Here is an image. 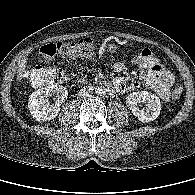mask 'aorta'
<instances>
[{
    "instance_id": "obj_1",
    "label": "aorta",
    "mask_w": 195,
    "mask_h": 195,
    "mask_svg": "<svg viewBox=\"0 0 195 195\" xmlns=\"http://www.w3.org/2000/svg\"><path fill=\"white\" fill-rule=\"evenodd\" d=\"M95 92H96L97 95L102 96V95L105 94V89H104V87L99 86V87L96 88Z\"/></svg>"
}]
</instances>
